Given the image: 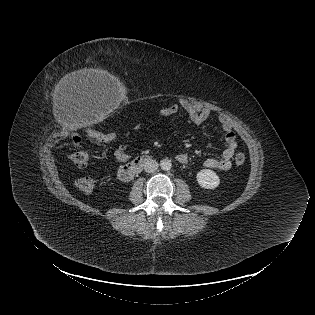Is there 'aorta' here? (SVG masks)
I'll use <instances>...</instances> for the list:
<instances>
[{
	"label": "aorta",
	"mask_w": 315,
	"mask_h": 315,
	"mask_svg": "<svg viewBox=\"0 0 315 315\" xmlns=\"http://www.w3.org/2000/svg\"><path fill=\"white\" fill-rule=\"evenodd\" d=\"M160 167H161V169L164 170V171L170 170L171 167H172L171 160H168V159H163V160H161V162H160Z\"/></svg>",
	"instance_id": "762f6f07"
}]
</instances>
